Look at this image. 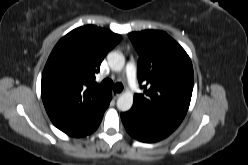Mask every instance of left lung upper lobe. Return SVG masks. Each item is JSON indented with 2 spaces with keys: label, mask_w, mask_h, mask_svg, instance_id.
<instances>
[{
  "label": "left lung upper lobe",
  "mask_w": 248,
  "mask_h": 165,
  "mask_svg": "<svg viewBox=\"0 0 248 165\" xmlns=\"http://www.w3.org/2000/svg\"><path fill=\"white\" fill-rule=\"evenodd\" d=\"M139 53L138 80L144 94H135L133 107L179 125L190 105L193 67L185 50L163 31L128 34Z\"/></svg>",
  "instance_id": "1"
}]
</instances>
